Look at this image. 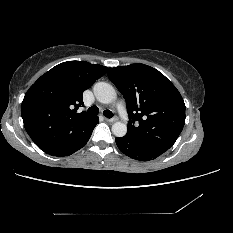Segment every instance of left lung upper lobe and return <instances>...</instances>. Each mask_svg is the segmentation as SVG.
<instances>
[{"instance_id": "1", "label": "left lung upper lobe", "mask_w": 233, "mask_h": 233, "mask_svg": "<svg viewBox=\"0 0 233 233\" xmlns=\"http://www.w3.org/2000/svg\"><path fill=\"white\" fill-rule=\"evenodd\" d=\"M107 75L126 100L125 136L163 153L171 148L185 124L184 100L172 82L145 64L108 68Z\"/></svg>"}]
</instances>
